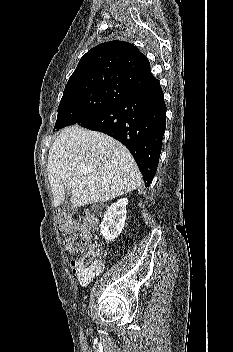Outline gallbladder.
I'll use <instances>...</instances> for the list:
<instances>
[{
	"instance_id": "1",
	"label": "gallbladder",
	"mask_w": 233,
	"mask_h": 352,
	"mask_svg": "<svg viewBox=\"0 0 233 352\" xmlns=\"http://www.w3.org/2000/svg\"><path fill=\"white\" fill-rule=\"evenodd\" d=\"M70 198H71V190L66 189L65 198H64V201L62 202V209L64 212H67V213H73L75 211V208L72 206L70 202Z\"/></svg>"
}]
</instances>
